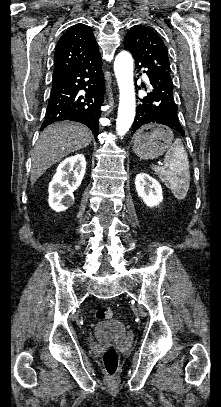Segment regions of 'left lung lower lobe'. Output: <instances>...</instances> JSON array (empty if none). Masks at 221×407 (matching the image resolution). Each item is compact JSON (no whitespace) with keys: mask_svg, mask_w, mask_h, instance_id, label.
Here are the masks:
<instances>
[{"mask_svg":"<svg viewBox=\"0 0 221 407\" xmlns=\"http://www.w3.org/2000/svg\"><path fill=\"white\" fill-rule=\"evenodd\" d=\"M124 46L126 50L130 51L125 41ZM135 65L137 69L146 68L145 65L137 61H135ZM144 72L149 77L152 91L148 93V96L139 99L132 127L133 132L142 125L158 123L173 128L183 136L185 132L177 115L178 107L174 100L172 81L159 77L148 70Z\"/></svg>","mask_w":221,"mask_h":407,"instance_id":"left-lung-lower-lobe-1","label":"left lung lower lobe"}]
</instances>
